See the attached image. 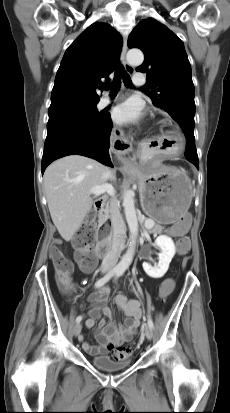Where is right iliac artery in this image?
<instances>
[{"label": "right iliac artery", "instance_id": "right-iliac-artery-1", "mask_svg": "<svg viewBox=\"0 0 230 413\" xmlns=\"http://www.w3.org/2000/svg\"><path fill=\"white\" fill-rule=\"evenodd\" d=\"M117 270H112L109 273H107L104 277H102L101 279H99L96 283H95V287L99 288L101 286H103L106 282H108L115 274H116ZM82 320L81 316H78L76 318V322L79 323Z\"/></svg>", "mask_w": 230, "mask_h": 413}]
</instances>
